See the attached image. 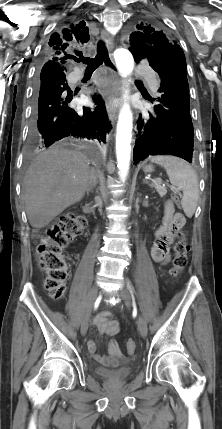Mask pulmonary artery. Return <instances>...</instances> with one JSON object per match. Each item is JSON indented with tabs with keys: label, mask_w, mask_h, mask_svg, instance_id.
<instances>
[{
	"label": "pulmonary artery",
	"mask_w": 222,
	"mask_h": 429,
	"mask_svg": "<svg viewBox=\"0 0 222 429\" xmlns=\"http://www.w3.org/2000/svg\"><path fill=\"white\" fill-rule=\"evenodd\" d=\"M140 71L144 73L145 77L147 78L149 88L155 93L157 91V88H158V81H157L155 75L153 73H151V71L145 67H142L140 69ZM75 77L80 78L81 72L77 71L75 73Z\"/></svg>",
	"instance_id": "pulmonary-artery-1"
}]
</instances>
